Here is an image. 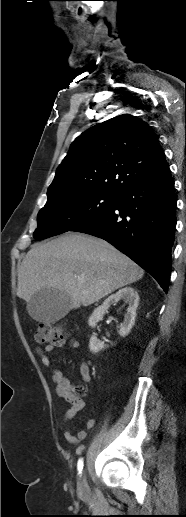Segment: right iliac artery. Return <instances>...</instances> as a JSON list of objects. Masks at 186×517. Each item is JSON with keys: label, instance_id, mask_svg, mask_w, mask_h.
Masks as SVG:
<instances>
[{"label": "right iliac artery", "instance_id": "82829eb1", "mask_svg": "<svg viewBox=\"0 0 186 517\" xmlns=\"http://www.w3.org/2000/svg\"><path fill=\"white\" fill-rule=\"evenodd\" d=\"M83 466H84L83 459H82V458H80V459L78 460V463H77V469H78L79 473H81V471H82V469H83Z\"/></svg>", "mask_w": 186, "mask_h": 517}]
</instances>
